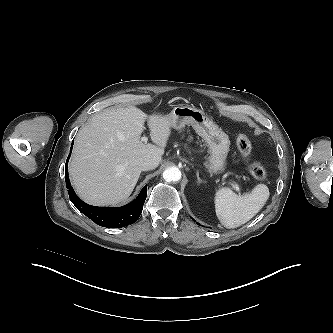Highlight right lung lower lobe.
Returning <instances> with one entry per match:
<instances>
[{
    "label": "right lung lower lobe",
    "mask_w": 333,
    "mask_h": 333,
    "mask_svg": "<svg viewBox=\"0 0 333 333\" xmlns=\"http://www.w3.org/2000/svg\"><path fill=\"white\" fill-rule=\"evenodd\" d=\"M72 150V147L70 151ZM70 154L65 164V181L66 187L68 189L69 198L75 207L86 215L89 219L93 220L96 224L103 227H124L129 224H133L140 216L144 201L147 195V185L143 187L137 198L126 206L119 208L110 207H96L84 203L75 194L73 188L71 187L69 177H68V160Z\"/></svg>",
    "instance_id": "right-lung-lower-lobe-1"
}]
</instances>
